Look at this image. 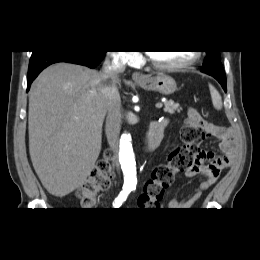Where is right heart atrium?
Returning <instances> with one entry per match:
<instances>
[{"label":"right heart atrium","mask_w":260,"mask_h":260,"mask_svg":"<svg viewBox=\"0 0 260 260\" xmlns=\"http://www.w3.org/2000/svg\"><path fill=\"white\" fill-rule=\"evenodd\" d=\"M117 58L119 61L128 64H134L140 60V56L136 52H119Z\"/></svg>","instance_id":"d8ad5b80"}]
</instances>
